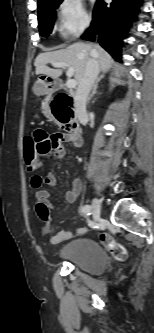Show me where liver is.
<instances>
[{
    "instance_id": "1",
    "label": "liver",
    "mask_w": 154,
    "mask_h": 333,
    "mask_svg": "<svg viewBox=\"0 0 154 333\" xmlns=\"http://www.w3.org/2000/svg\"><path fill=\"white\" fill-rule=\"evenodd\" d=\"M94 57L98 60L99 68L106 72L113 63L111 56L98 44L76 42L65 49L39 54L34 62L36 75H47L57 78L62 75V69H52L47 66L48 63H66L74 68V77L79 83L85 72L86 63L89 58Z\"/></svg>"
}]
</instances>
